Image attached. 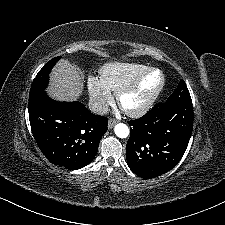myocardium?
I'll list each match as a JSON object with an SVG mask.
<instances>
[{
	"instance_id": "myocardium-1",
	"label": "myocardium",
	"mask_w": 225,
	"mask_h": 225,
	"mask_svg": "<svg viewBox=\"0 0 225 225\" xmlns=\"http://www.w3.org/2000/svg\"><path fill=\"white\" fill-rule=\"evenodd\" d=\"M152 73L158 74L159 76V83L154 89V91L137 108L134 109L126 108L123 104L124 99L130 95L136 94L140 90L147 76ZM164 86H165V76L163 72L156 67L146 68L132 83H130L128 86L124 87L117 93V103L126 115L132 118H139L145 115L151 109L157 98L162 93Z\"/></svg>"
}]
</instances>
